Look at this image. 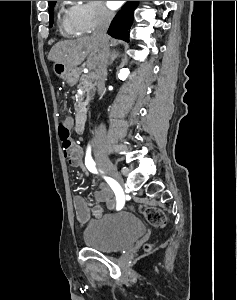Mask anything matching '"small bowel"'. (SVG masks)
<instances>
[{
  "mask_svg": "<svg viewBox=\"0 0 237 300\" xmlns=\"http://www.w3.org/2000/svg\"><path fill=\"white\" fill-rule=\"evenodd\" d=\"M63 123L69 130H72L74 127V120L71 117H66L63 120ZM64 155L71 167L80 168L82 170L83 178L88 176V170L86 169L87 166H85L86 155L80 145L77 144L73 149L64 151ZM114 193L113 189L107 183L101 182L94 192V197L98 203L92 208V210H90L82 196H75L73 199V205L77 221L80 224H85L90 219L91 214L99 217L105 210H114L116 206Z\"/></svg>",
  "mask_w": 237,
  "mask_h": 300,
  "instance_id": "small-bowel-1",
  "label": "small bowel"
}]
</instances>
